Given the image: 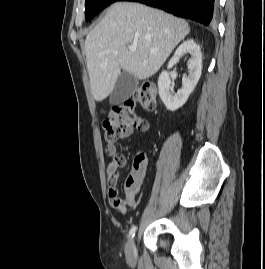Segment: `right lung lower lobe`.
Listing matches in <instances>:
<instances>
[{
	"label": "right lung lower lobe",
	"instance_id": "obj_1",
	"mask_svg": "<svg viewBox=\"0 0 265 269\" xmlns=\"http://www.w3.org/2000/svg\"><path fill=\"white\" fill-rule=\"evenodd\" d=\"M139 2L163 9L179 17L209 25L216 11V0H121Z\"/></svg>",
	"mask_w": 265,
	"mask_h": 269
}]
</instances>
